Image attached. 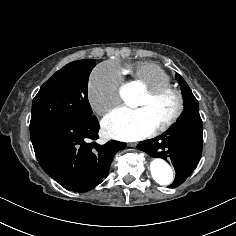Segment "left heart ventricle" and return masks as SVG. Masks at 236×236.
<instances>
[{
  "instance_id": "obj_1",
  "label": "left heart ventricle",
  "mask_w": 236,
  "mask_h": 236,
  "mask_svg": "<svg viewBox=\"0 0 236 236\" xmlns=\"http://www.w3.org/2000/svg\"><path fill=\"white\" fill-rule=\"evenodd\" d=\"M134 107L148 112L155 129L162 125L172 114L175 108V101L171 96H165L156 102H150L147 95L144 94L136 101Z\"/></svg>"
}]
</instances>
